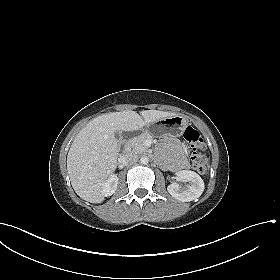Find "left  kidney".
I'll use <instances>...</instances> for the list:
<instances>
[{
  "mask_svg": "<svg viewBox=\"0 0 280 280\" xmlns=\"http://www.w3.org/2000/svg\"><path fill=\"white\" fill-rule=\"evenodd\" d=\"M178 181L189 182L186 188H182L176 182L171 183L167 190L175 199L187 202L192 201L201 196L204 191V182L202 178L195 172L189 170H182L176 173Z\"/></svg>",
  "mask_w": 280,
  "mask_h": 280,
  "instance_id": "5707ae66",
  "label": "left kidney"
}]
</instances>
